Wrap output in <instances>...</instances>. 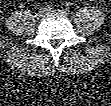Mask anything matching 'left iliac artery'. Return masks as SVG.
Listing matches in <instances>:
<instances>
[{"mask_svg": "<svg viewBox=\"0 0 111 106\" xmlns=\"http://www.w3.org/2000/svg\"><path fill=\"white\" fill-rule=\"evenodd\" d=\"M62 11H63L64 13L68 14V13L70 12V8L67 7V6H65V7H63Z\"/></svg>", "mask_w": 111, "mask_h": 106, "instance_id": "left-iliac-artery-1", "label": "left iliac artery"}]
</instances>
